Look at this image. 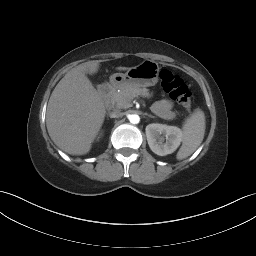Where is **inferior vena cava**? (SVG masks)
<instances>
[{"label": "inferior vena cava", "mask_w": 256, "mask_h": 256, "mask_svg": "<svg viewBox=\"0 0 256 256\" xmlns=\"http://www.w3.org/2000/svg\"><path fill=\"white\" fill-rule=\"evenodd\" d=\"M122 116V113L120 110H114L110 113V117L111 118H118V117H121Z\"/></svg>", "instance_id": "obj_1"}]
</instances>
